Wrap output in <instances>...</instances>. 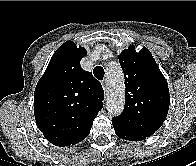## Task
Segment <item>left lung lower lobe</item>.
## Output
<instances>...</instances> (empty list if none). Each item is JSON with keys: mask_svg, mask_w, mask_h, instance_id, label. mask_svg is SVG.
Instances as JSON below:
<instances>
[{"mask_svg": "<svg viewBox=\"0 0 196 166\" xmlns=\"http://www.w3.org/2000/svg\"><path fill=\"white\" fill-rule=\"evenodd\" d=\"M115 133L119 138H123L129 141H140V140H144L145 137H142L140 135L134 134L126 129H124L123 127H121L118 124L112 123Z\"/></svg>", "mask_w": 196, "mask_h": 166, "instance_id": "left-lung-lower-lobe-1", "label": "left lung lower lobe"}]
</instances>
